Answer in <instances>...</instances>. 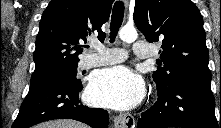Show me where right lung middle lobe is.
<instances>
[{
	"instance_id": "right-lung-middle-lobe-1",
	"label": "right lung middle lobe",
	"mask_w": 221,
	"mask_h": 128,
	"mask_svg": "<svg viewBox=\"0 0 221 128\" xmlns=\"http://www.w3.org/2000/svg\"><path fill=\"white\" fill-rule=\"evenodd\" d=\"M77 65L65 67L48 74L31 76L30 86H34L51 79H59L63 81H69L77 85H82L81 81L76 78Z\"/></svg>"
}]
</instances>
